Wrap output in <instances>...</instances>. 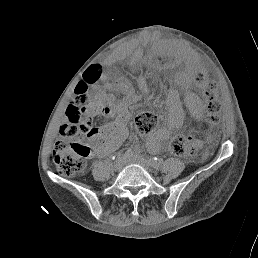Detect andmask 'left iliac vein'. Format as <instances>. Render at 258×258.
<instances>
[{"label":"left iliac vein","mask_w":258,"mask_h":258,"mask_svg":"<svg viewBox=\"0 0 258 258\" xmlns=\"http://www.w3.org/2000/svg\"><path fill=\"white\" fill-rule=\"evenodd\" d=\"M134 162L140 164L142 167H144L147 170L150 169L151 163H149L147 160H145L141 157L135 158Z\"/></svg>","instance_id":"4c4485c4"}]
</instances>
